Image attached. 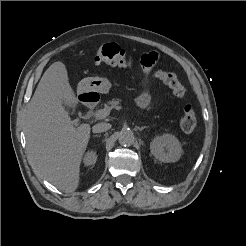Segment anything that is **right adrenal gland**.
<instances>
[{
	"label": "right adrenal gland",
	"mask_w": 246,
	"mask_h": 246,
	"mask_svg": "<svg viewBox=\"0 0 246 246\" xmlns=\"http://www.w3.org/2000/svg\"><path fill=\"white\" fill-rule=\"evenodd\" d=\"M94 137H100V136H98V135H94Z\"/></svg>",
	"instance_id": "2a0ac1e0"
}]
</instances>
